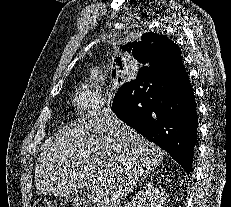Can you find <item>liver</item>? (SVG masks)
Instances as JSON below:
<instances>
[{"label":"liver","instance_id":"6515ba94","mask_svg":"<svg viewBox=\"0 0 231 207\" xmlns=\"http://www.w3.org/2000/svg\"><path fill=\"white\" fill-rule=\"evenodd\" d=\"M163 157L161 148L106 108L45 141L35 166L36 188L56 197L86 188L97 207H121Z\"/></svg>","mask_w":231,"mask_h":207}]
</instances>
